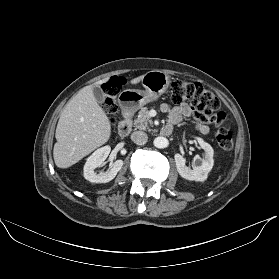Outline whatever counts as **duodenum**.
Listing matches in <instances>:
<instances>
[{
	"mask_svg": "<svg viewBox=\"0 0 279 279\" xmlns=\"http://www.w3.org/2000/svg\"><path fill=\"white\" fill-rule=\"evenodd\" d=\"M131 118H132V113L129 110H125L123 119L119 123L118 126V134L122 137H125L129 134L131 130ZM172 133V126L166 125L162 128L161 134L163 136H168Z\"/></svg>",
	"mask_w": 279,
	"mask_h": 279,
	"instance_id": "1",
	"label": "duodenum"
}]
</instances>
